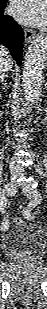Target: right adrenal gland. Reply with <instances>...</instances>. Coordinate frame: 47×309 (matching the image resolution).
<instances>
[{"label":"right adrenal gland","mask_w":47,"mask_h":309,"mask_svg":"<svg viewBox=\"0 0 47 309\" xmlns=\"http://www.w3.org/2000/svg\"><path fill=\"white\" fill-rule=\"evenodd\" d=\"M5 77H6V74H5V73H1V75H0V83H1L4 87L6 86Z\"/></svg>","instance_id":"1"}]
</instances>
